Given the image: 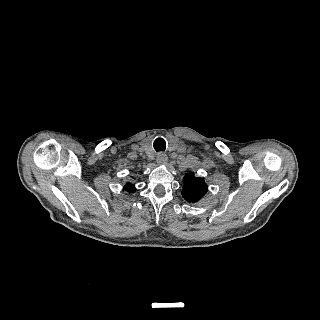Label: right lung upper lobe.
<instances>
[{
	"mask_svg": "<svg viewBox=\"0 0 320 320\" xmlns=\"http://www.w3.org/2000/svg\"><path fill=\"white\" fill-rule=\"evenodd\" d=\"M124 190H126V191L129 192V193H133V192L136 191V188H135L134 185L127 183V184L124 186Z\"/></svg>",
	"mask_w": 320,
	"mask_h": 320,
	"instance_id": "1",
	"label": "right lung upper lobe"
}]
</instances>
